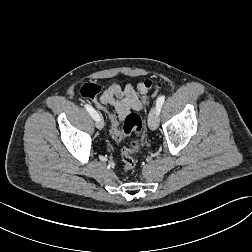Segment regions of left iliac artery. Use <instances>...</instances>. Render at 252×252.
Listing matches in <instances>:
<instances>
[{
	"mask_svg": "<svg viewBox=\"0 0 252 252\" xmlns=\"http://www.w3.org/2000/svg\"><path fill=\"white\" fill-rule=\"evenodd\" d=\"M164 101H165V96H160V97L157 98L156 107H157V110H158V114L160 113V110H161V107H162Z\"/></svg>",
	"mask_w": 252,
	"mask_h": 252,
	"instance_id": "left-iliac-artery-1",
	"label": "left iliac artery"
}]
</instances>
